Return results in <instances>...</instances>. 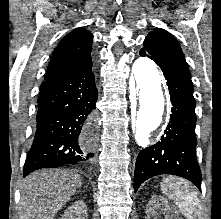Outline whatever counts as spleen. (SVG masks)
<instances>
[{
    "mask_svg": "<svg viewBox=\"0 0 221 219\" xmlns=\"http://www.w3.org/2000/svg\"><path fill=\"white\" fill-rule=\"evenodd\" d=\"M161 190L176 203L187 219H200L203 214L201 203L187 181L174 177L165 178L161 183Z\"/></svg>",
    "mask_w": 221,
    "mask_h": 219,
    "instance_id": "1",
    "label": "spleen"
}]
</instances>
